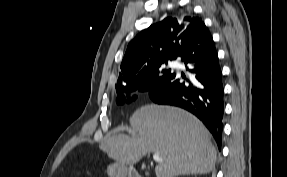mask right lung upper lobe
Returning <instances> with one entry per match:
<instances>
[{"mask_svg":"<svg viewBox=\"0 0 287 177\" xmlns=\"http://www.w3.org/2000/svg\"><path fill=\"white\" fill-rule=\"evenodd\" d=\"M205 29L201 19L185 15L165 18L141 31L128 44L116 87L138 83L157 64L178 58Z\"/></svg>","mask_w":287,"mask_h":177,"instance_id":"right-lung-upper-lobe-1","label":"right lung upper lobe"}]
</instances>
